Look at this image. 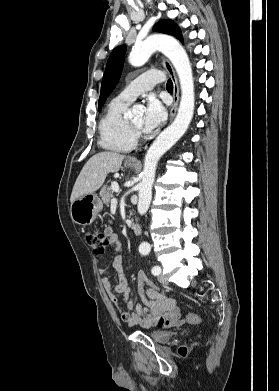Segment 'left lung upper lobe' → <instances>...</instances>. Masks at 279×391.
Segmentation results:
<instances>
[{
  "mask_svg": "<svg viewBox=\"0 0 279 391\" xmlns=\"http://www.w3.org/2000/svg\"><path fill=\"white\" fill-rule=\"evenodd\" d=\"M155 31L166 33L169 35L175 36L177 39L182 41V34L180 28L171 20H161L159 21L155 27ZM126 52V46H119L115 48L108 61L106 70L102 79L101 92L99 97V111L101 110L102 105L104 104L107 97L115 88L118 83L122 68H123V60Z\"/></svg>",
  "mask_w": 279,
  "mask_h": 391,
  "instance_id": "5c2ea615",
  "label": "left lung upper lobe"
}]
</instances>
